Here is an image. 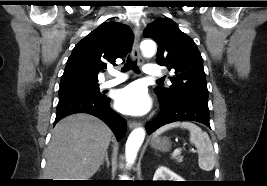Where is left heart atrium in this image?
Instances as JSON below:
<instances>
[{"label":"left heart atrium","instance_id":"39dd6f15","mask_svg":"<svg viewBox=\"0 0 267 186\" xmlns=\"http://www.w3.org/2000/svg\"><path fill=\"white\" fill-rule=\"evenodd\" d=\"M115 104L124 114L140 116L149 111L151 99L147 89L141 83L134 82L116 92Z\"/></svg>","mask_w":267,"mask_h":186}]
</instances>
